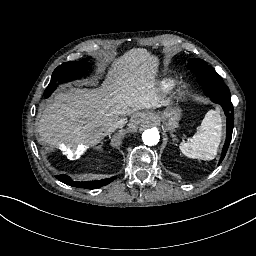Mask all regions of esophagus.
Returning a JSON list of instances; mask_svg holds the SVG:
<instances>
[{"instance_id":"obj_1","label":"esophagus","mask_w":256,"mask_h":256,"mask_svg":"<svg viewBox=\"0 0 256 256\" xmlns=\"http://www.w3.org/2000/svg\"><path fill=\"white\" fill-rule=\"evenodd\" d=\"M137 120L142 121V120H145V118H143L142 116H139V117H137ZM148 121L152 122L151 120H148Z\"/></svg>"}]
</instances>
